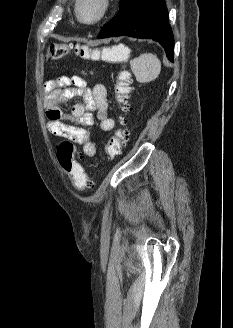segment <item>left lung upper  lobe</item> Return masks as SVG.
Wrapping results in <instances>:
<instances>
[{
	"label": "left lung upper lobe",
	"instance_id": "1",
	"mask_svg": "<svg viewBox=\"0 0 233 328\" xmlns=\"http://www.w3.org/2000/svg\"><path fill=\"white\" fill-rule=\"evenodd\" d=\"M125 2V0H120L121 5Z\"/></svg>",
	"mask_w": 233,
	"mask_h": 328
}]
</instances>
